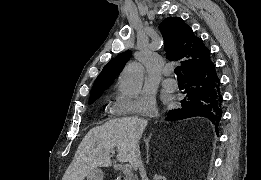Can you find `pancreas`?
Masks as SVG:
<instances>
[{
  "label": "pancreas",
  "instance_id": "1",
  "mask_svg": "<svg viewBox=\"0 0 261 180\" xmlns=\"http://www.w3.org/2000/svg\"><path fill=\"white\" fill-rule=\"evenodd\" d=\"M124 174L125 173H119L118 174V177H119L118 180H124Z\"/></svg>",
  "mask_w": 261,
  "mask_h": 180
}]
</instances>
